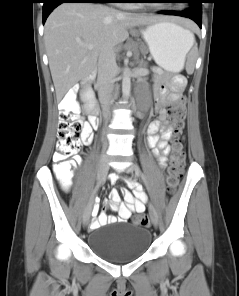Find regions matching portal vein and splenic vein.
Listing matches in <instances>:
<instances>
[{
    "label": "portal vein and splenic vein",
    "mask_w": 239,
    "mask_h": 296,
    "mask_svg": "<svg viewBox=\"0 0 239 296\" xmlns=\"http://www.w3.org/2000/svg\"><path fill=\"white\" fill-rule=\"evenodd\" d=\"M86 47H87L88 49L92 50V49H94L95 46H94L93 44H89V45H87Z\"/></svg>",
    "instance_id": "18ae733b"
}]
</instances>
